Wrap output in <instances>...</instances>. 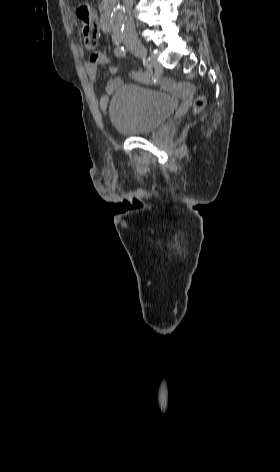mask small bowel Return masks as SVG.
I'll list each match as a JSON object with an SVG mask.
<instances>
[{
  "label": "small bowel",
  "instance_id": "small-bowel-1",
  "mask_svg": "<svg viewBox=\"0 0 280 472\" xmlns=\"http://www.w3.org/2000/svg\"><path fill=\"white\" fill-rule=\"evenodd\" d=\"M109 59L108 57L102 53L101 51L93 52L89 58L86 60L84 64L85 73L88 77L89 82L92 85H95L98 81V69L101 65H108ZM109 73L116 74L118 72L117 66L109 65ZM133 79L138 80L137 73L132 75ZM122 81L118 78L110 79L106 82L103 89V94L100 98L99 105L103 112L106 111L107 105L109 103L110 96L114 93V91L121 85ZM158 85L167 91H170L175 94L181 93H189L192 91L191 87L178 84L173 81L171 78H161L158 80Z\"/></svg>",
  "mask_w": 280,
  "mask_h": 472
}]
</instances>
